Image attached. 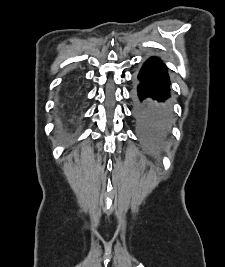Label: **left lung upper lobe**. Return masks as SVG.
Here are the masks:
<instances>
[{"label": "left lung upper lobe", "instance_id": "obj_1", "mask_svg": "<svg viewBox=\"0 0 225 267\" xmlns=\"http://www.w3.org/2000/svg\"><path fill=\"white\" fill-rule=\"evenodd\" d=\"M136 118L140 129L146 134H165L170 127L155 123L145 107L136 106Z\"/></svg>", "mask_w": 225, "mask_h": 267}]
</instances>
